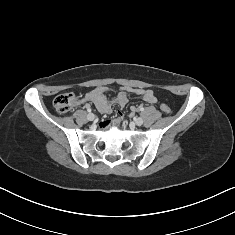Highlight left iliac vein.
Segmentation results:
<instances>
[{
    "label": "left iliac vein",
    "instance_id": "left-iliac-vein-1",
    "mask_svg": "<svg viewBox=\"0 0 235 235\" xmlns=\"http://www.w3.org/2000/svg\"><path fill=\"white\" fill-rule=\"evenodd\" d=\"M134 123L137 126H141L143 124V119L141 117H137V118L134 119Z\"/></svg>",
    "mask_w": 235,
    "mask_h": 235
}]
</instances>
